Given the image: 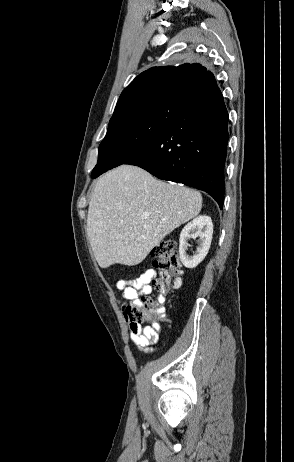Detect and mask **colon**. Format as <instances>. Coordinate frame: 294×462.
Segmentation results:
<instances>
[{"label":"colon","instance_id":"5ec220e1","mask_svg":"<svg viewBox=\"0 0 294 462\" xmlns=\"http://www.w3.org/2000/svg\"><path fill=\"white\" fill-rule=\"evenodd\" d=\"M151 254L159 271L158 278L152 281L153 287L163 294L177 288L181 284V262L175 243L163 241L153 248ZM127 311L131 320L138 324L164 316L161 302L155 304L149 296H142L138 302L128 304Z\"/></svg>","mask_w":294,"mask_h":462}]
</instances>
